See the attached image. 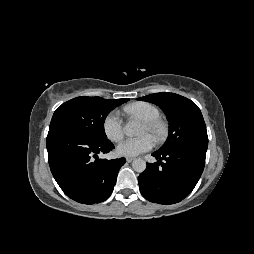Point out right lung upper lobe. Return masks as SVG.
<instances>
[{
	"label": "right lung upper lobe",
	"instance_id": "obj_1",
	"mask_svg": "<svg viewBox=\"0 0 254 254\" xmlns=\"http://www.w3.org/2000/svg\"><path fill=\"white\" fill-rule=\"evenodd\" d=\"M121 100H123V99H113L112 101H114V102H120Z\"/></svg>",
	"mask_w": 254,
	"mask_h": 254
}]
</instances>
